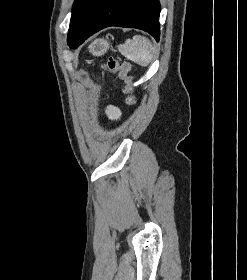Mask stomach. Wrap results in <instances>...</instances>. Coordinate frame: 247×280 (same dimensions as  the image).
<instances>
[{"label": "stomach", "mask_w": 247, "mask_h": 280, "mask_svg": "<svg viewBox=\"0 0 247 280\" xmlns=\"http://www.w3.org/2000/svg\"><path fill=\"white\" fill-rule=\"evenodd\" d=\"M110 47V43L106 39H96L89 46V51L95 56L104 55Z\"/></svg>", "instance_id": "1"}]
</instances>
